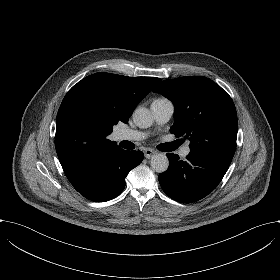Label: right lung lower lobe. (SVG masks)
I'll return each mask as SVG.
<instances>
[{"mask_svg": "<svg viewBox=\"0 0 280 280\" xmlns=\"http://www.w3.org/2000/svg\"><path fill=\"white\" fill-rule=\"evenodd\" d=\"M143 157L141 151L118 148L91 158L68 180L86 199L105 202L123 191L127 174L142 162Z\"/></svg>", "mask_w": 280, "mask_h": 280, "instance_id": "right-lung-lower-lobe-1", "label": "right lung lower lobe"}]
</instances>
